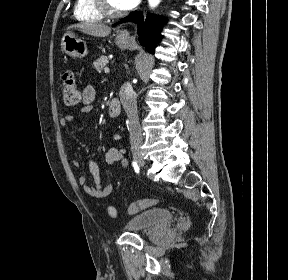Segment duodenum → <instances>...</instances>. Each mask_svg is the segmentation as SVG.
Wrapping results in <instances>:
<instances>
[{"label": "duodenum", "instance_id": "obj_1", "mask_svg": "<svg viewBox=\"0 0 288 280\" xmlns=\"http://www.w3.org/2000/svg\"><path fill=\"white\" fill-rule=\"evenodd\" d=\"M121 113V104L118 99H112L107 108V114L110 118L115 119Z\"/></svg>", "mask_w": 288, "mask_h": 280}]
</instances>
